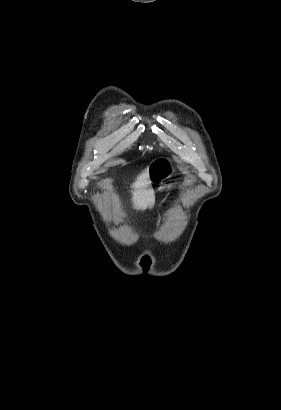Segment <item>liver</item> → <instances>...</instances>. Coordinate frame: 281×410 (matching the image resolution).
<instances>
[{"label":"liver","instance_id":"1","mask_svg":"<svg viewBox=\"0 0 281 410\" xmlns=\"http://www.w3.org/2000/svg\"><path fill=\"white\" fill-rule=\"evenodd\" d=\"M150 185L148 168L145 169L133 183L132 187L134 191L132 192L134 208L137 210H145L147 207L152 206V198L147 191V187Z\"/></svg>","mask_w":281,"mask_h":410}]
</instances>
